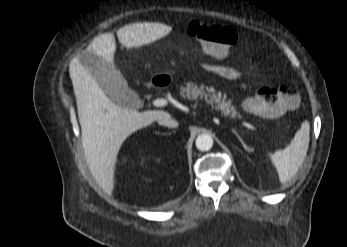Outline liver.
<instances>
[{"mask_svg": "<svg viewBox=\"0 0 347 247\" xmlns=\"http://www.w3.org/2000/svg\"><path fill=\"white\" fill-rule=\"evenodd\" d=\"M170 29L161 23H136L120 28L117 37L128 49L154 42ZM115 51L113 33H104L94 38L83 52L93 53L114 67ZM80 54L71 60L69 73L77 100L82 145L94 178L110 193L114 189L115 165L122 143L135 131L158 121L164 111L138 112L116 105L80 63Z\"/></svg>", "mask_w": 347, "mask_h": 247, "instance_id": "6515ba94", "label": "liver"}]
</instances>
